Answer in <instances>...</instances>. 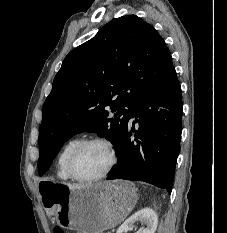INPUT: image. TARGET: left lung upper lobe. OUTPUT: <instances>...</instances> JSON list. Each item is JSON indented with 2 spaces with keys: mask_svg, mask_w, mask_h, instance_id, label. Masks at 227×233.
Wrapping results in <instances>:
<instances>
[{
  "mask_svg": "<svg viewBox=\"0 0 227 233\" xmlns=\"http://www.w3.org/2000/svg\"><path fill=\"white\" fill-rule=\"evenodd\" d=\"M172 68L163 38L136 15L113 19L71 51L43 105L39 175L77 133L97 132L117 149L132 105L157 88Z\"/></svg>",
  "mask_w": 227,
  "mask_h": 233,
  "instance_id": "left-lung-upper-lobe-1",
  "label": "left lung upper lobe"
}]
</instances>
